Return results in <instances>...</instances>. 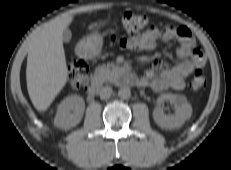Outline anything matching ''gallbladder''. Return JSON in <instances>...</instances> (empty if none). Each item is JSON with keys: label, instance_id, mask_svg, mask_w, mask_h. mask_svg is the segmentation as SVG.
Segmentation results:
<instances>
[{"label": "gallbladder", "instance_id": "obj_1", "mask_svg": "<svg viewBox=\"0 0 231 170\" xmlns=\"http://www.w3.org/2000/svg\"><path fill=\"white\" fill-rule=\"evenodd\" d=\"M71 38H72V33H71V31H70L69 29H65V30L63 31V41H64L65 43H68V42L71 40Z\"/></svg>", "mask_w": 231, "mask_h": 170}]
</instances>
